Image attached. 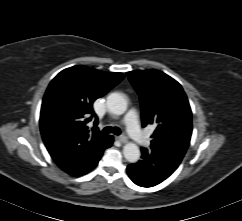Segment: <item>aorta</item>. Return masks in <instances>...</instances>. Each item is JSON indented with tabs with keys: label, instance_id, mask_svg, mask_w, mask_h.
Here are the masks:
<instances>
[{
	"label": "aorta",
	"instance_id": "aorta-1",
	"mask_svg": "<svg viewBox=\"0 0 242 221\" xmlns=\"http://www.w3.org/2000/svg\"><path fill=\"white\" fill-rule=\"evenodd\" d=\"M106 103L109 111L115 115H122L127 109V100L120 93L108 95ZM123 154L128 162L135 163L140 158V149L135 143L128 142L123 147Z\"/></svg>",
	"mask_w": 242,
	"mask_h": 221
}]
</instances>
